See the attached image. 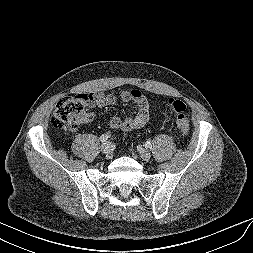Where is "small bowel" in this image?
I'll return each instance as SVG.
<instances>
[{
	"instance_id": "1",
	"label": "small bowel",
	"mask_w": 253,
	"mask_h": 253,
	"mask_svg": "<svg viewBox=\"0 0 253 253\" xmlns=\"http://www.w3.org/2000/svg\"><path fill=\"white\" fill-rule=\"evenodd\" d=\"M85 96L88 98L89 106L91 107H106L113 105L117 101L133 103L135 105L136 112L134 115L124 119L116 116L110 119L109 126L114 130L131 131L142 128L148 122L149 101L147 96L140 90H126L118 96L103 92H91Z\"/></svg>"
}]
</instances>
